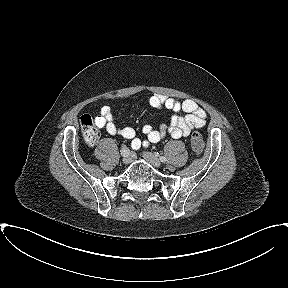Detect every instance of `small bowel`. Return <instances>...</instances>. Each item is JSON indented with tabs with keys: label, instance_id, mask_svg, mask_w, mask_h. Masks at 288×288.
<instances>
[{
	"label": "small bowel",
	"instance_id": "obj_1",
	"mask_svg": "<svg viewBox=\"0 0 288 288\" xmlns=\"http://www.w3.org/2000/svg\"><path fill=\"white\" fill-rule=\"evenodd\" d=\"M149 105L155 109L169 110L171 116L169 123L162 124L159 129H155L151 125H145L142 129L146 135L145 140L136 137L133 128L117 126L112 110L108 106L102 107L100 114L95 118V124L99 128H104L110 135H117L131 140V147L134 150H138L150 143H157L166 134L179 139L187 137L194 128L205 126L206 112L191 99L180 102L164 95H153L149 99ZM182 112L186 113V115L182 116Z\"/></svg>",
	"mask_w": 288,
	"mask_h": 288
}]
</instances>
